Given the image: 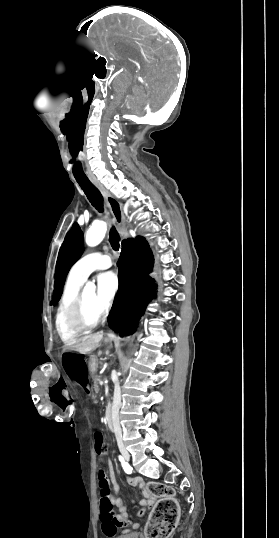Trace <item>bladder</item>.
Returning a JSON list of instances; mask_svg holds the SVG:
<instances>
[{
  "instance_id": "bladder-1",
  "label": "bladder",
  "mask_w": 279,
  "mask_h": 538,
  "mask_svg": "<svg viewBox=\"0 0 279 538\" xmlns=\"http://www.w3.org/2000/svg\"><path fill=\"white\" fill-rule=\"evenodd\" d=\"M117 538H138L137 532H119Z\"/></svg>"
}]
</instances>
